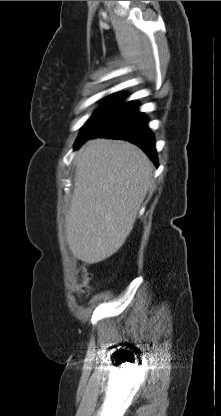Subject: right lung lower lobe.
I'll return each mask as SVG.
<instances>
[{
  "label": "right lung lower lobe",
  "mask_w": 221,
  "mask_h": 416,
  "mask_svg": "<svg viewBox=\"0 0 221 416\" xmlns=\"http://www.w3.org/2000/svg\"><path fill=\"white\" fill-rule=\"evenodd\" d=\"M106 137L128 140L138 145L157 165L154 137L147 127V118L137 111L135 102L121 103L115 112L90 134L78 138L75 148L89 138Z\"/></svg>",
  "instance_id": "98d812e1"
}]
</instances>
